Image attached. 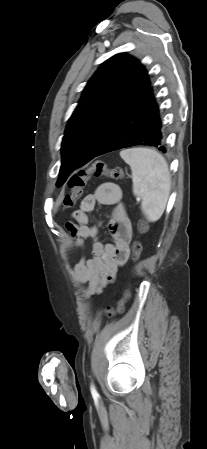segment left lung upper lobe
Instances as JSON below:
<instances>
[{"mask_svg":"<svg viewBox=\"0 0 207 449\" xmlns=\"http://www.w3.org/2000/svg\"><path fill=\"white\" fill-rule=\"evenodd\" d=\"M150 87L144 67L127 54H117L99 67L67 124L57 187L95 157L109 133Z\"/></svg>","mask_w":207,"mask_h":449,"instance_id":"5c2ea615","label":"left lung upper lobe"}]
</instances>
